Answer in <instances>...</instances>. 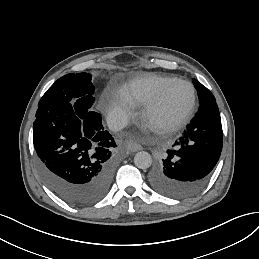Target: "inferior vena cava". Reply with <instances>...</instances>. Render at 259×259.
Segmentation results:
<instances>
[{
  "mask_svg": "<svg viewBox=\"0 0 259 259\" xmlns=\"http://www.w3.org/2000/svg\"><path fill=\"white\" fill-rule=\"evenodd\" d=\"M128 124V120L125 116L117 113H112L107 118L108 128L113 132H118L125 128Z\"/></svg>",
  "mask_w": 259,
  "mask_h": 259,
  "instance_id": "602c4592",
  "label": "inferior vena cava"
}]
</instances>
